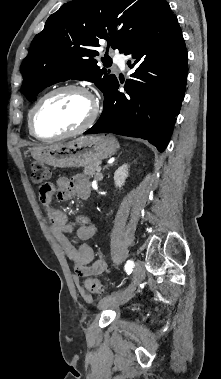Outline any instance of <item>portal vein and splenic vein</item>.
Masks as SVG:
<instances>
[{
  "label": "portal vein and splenic vein",
  "instance_id": "obj_1",
  "mask_svg": "<svg viewBox=\"0 0 221 379\" xmlns=\"http://www.w3.org/2000/svg\"><path fill=\"white\" fill-rule=\"evenodd\" d=\"M98 171H99V172L101 171V167L98 168Z\"/></svg>",
  "mask_w": 221,
  "mask_h": 379
}]
</instances>
